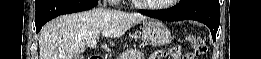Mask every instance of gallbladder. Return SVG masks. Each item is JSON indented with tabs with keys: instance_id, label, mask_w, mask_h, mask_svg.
Returning a JSON list of instances; mask_svg holds the SVG:
<instances>
[{
	"instance_id": "obj_1",
	"label": "gallbladder",
	"mask_w": 261,
	"mask_h": 59,
	"mask_svg": "<svg viewBox=\"0 0 261 59\" xmlns=\"http://www.w3.org/2000/svg\"><path fill=\"white\" fill-rule=\"evenodd\" d=\"M75 59H80V56H79V55H77V56L75 57Z\"/></svg>"
}]
</instances>
